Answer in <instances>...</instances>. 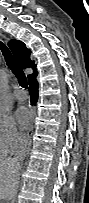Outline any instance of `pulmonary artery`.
I'll return each mask as SVG.
<instances>
[{"label":"pulmonary artery","instance_id":"e3ab8cb5","mask_svg":"<svg viewBox=\"0 0 89 203\" xmlns=\"http://www.w3.org/2000/svg\"><path fill=\"white\" fill-rule=\"evenodd\" d=\"M14 97L19 101H23L27 99L28 94L22 89H17L14 91Z\"/></svg>","mask_w":89,"mask_h":203}]
</instances>
